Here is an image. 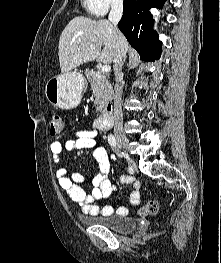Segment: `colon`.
I'll use <instances>...</instances> for the list:
<instances>
[{
	"label": "colon",
	"mask_w": 221,
	"mask_h": 263,
	"mask_svg": "<svg viewBox=\"0 0 221 263\" xmlns=\"http://www.w3.org/2000/svg\"><path fill=\"white\" fill-rule=\"evenodd\" d=\"M64 130V124L62 117L58 114H54L50 120V134L52 136H58L62 134ZM159 203L157 200H149L139 211L140 215H154L158 212Z\"/></svg>",
	"instance_id": "1"
}]
</instances>
